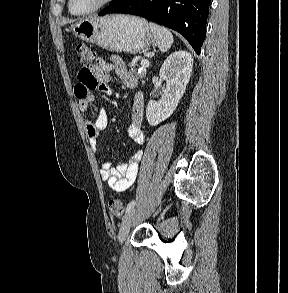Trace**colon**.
<instances>
[{
    "instance_id": "obj_1",
    "label": "colon",
    "mask_w": 288,
    "mask_h": 293,
    "mask_svg": "<svg viewBox=\"0 0 288 293\" xmlns=\"http://www.w3.org/2000/svg\"><path fill=\"white\" fill-rule=\"evenodd\" d=\"M76 52L84 69H90L97 60L95 51L85 44L77 45ZM109 210L114 216L120 217L123 214L124 204L118 198H111L109 200Z\"/></svg>"
}]
</instances>
